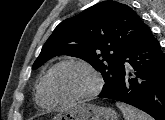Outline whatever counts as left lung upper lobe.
Returning a JSON list of instances; mask_svg holds the SVG:
<instances>
[{
    "mask_svg": "<svg viewBox=\"0 0 165 120\" xmlns=\"http://www.w3.org/2000/svg\"><path fill=\"white\" fill-rule=\"evenodd\" d=\"M147 25L128 5L108 0L62 21L33 64L37 69L58 55L81 58L101 72L105 95L119 85L123 57Z\"/></svg>",
    "mask_w": 165,
    "mask_h": 120,
    "instance_id": "1",
    "label": "left lung upper lobe"
}]
</instances>
